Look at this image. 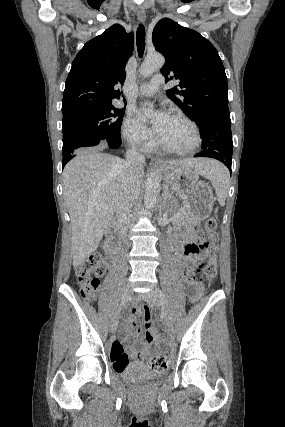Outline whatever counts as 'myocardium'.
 I'll use <instances>...</instances> for the list:
<instances>
[{
  "mask_svg": "<svg viewBox=\"0 0 285 427\" xmlns=\"http://www.w3.org/2000/svg\"><path fill=\"white\" fill-rule=\"evenodd\" d=\"M170 117L182 120L185 123H187L193 131L195 141L191 147L186 148V149H178V148L172 147V146L164 143L162 140L159 141L160 146L165 151H168V152L174 153V154H179V155H187V154H191V153L195 152L202 144L201 132H200V129H199L198 125L196 124V122L193 121L188 116L182 114V113H173L170 115Z\"/></svg>",
  "mask_w": 285,
  "mask_h": 427,
  "instance_id": "f54148a6",
  "label": "myocardium"
}]
</instances>
